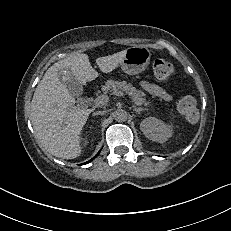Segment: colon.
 <instances>
[{"label": "colon", "instance_id": "5ec220e1", "mask_svg": "<svg viewBox=\"0 0 231 231\" xmlns=\"http://www.w3.org/2000/svg\"><path fill=\"white\" fill-rule=\"evenodd\" d=\"M152 69L155 77L161 81H168L175 72V66L164 59H156L152 64ZM178 111L189 121H194L198 118V107L194 97L187 95L178 102Z\"/></svg>", "mask_w": 231, "mask_h": 231}]
</instances>
